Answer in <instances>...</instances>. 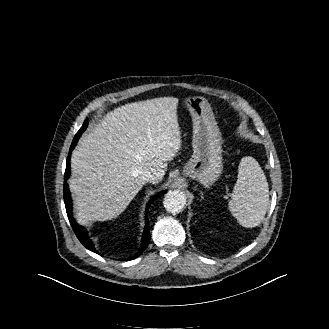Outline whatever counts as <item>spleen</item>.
<instances>
[{
    "mask_svg": "<svg viewBox=\"0 0 329 329\" xmlns=\"http://www.w3.org/2000/svg\"><path fill=\"white\" fill-rule=\"evenodd\" d=\"M237 178L228 208L240 225L252 228L260 224L270 204L268 182L251 156L241 159Z\"/></svg>",
    "mask_w": 329,
    "mask_h": 329,
    "instance_id": "3e777b00",
    "label": "spleen"
}]
</instances>
